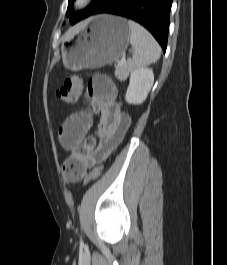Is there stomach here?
Listing matches in <instances>:
<instances>
[{"instance_id":"1","label":"stomach","mask_w":227,"mask_h":265,"mask_svg":"<svg viewBox=\"0 0 227 265\" xmlns=\"http://www.w3.org/2000/svg\"><path fill=\"white\" fill-rule=\"evenodd\" d=\"M129 41L130 28L126 19L98 15L75 40L62 43V61L71 71L99 68L118 60L125 53Z\"/></svg>"}]
</instances>
